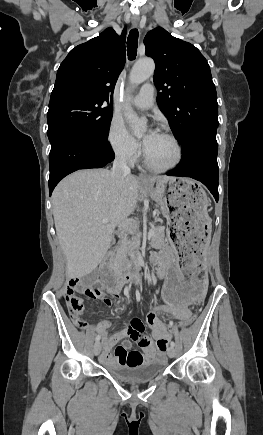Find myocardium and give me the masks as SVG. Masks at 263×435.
Segmentation results:
<instances>
[{
    "label": "myocardium",
    "mask_w": 263,
    "mask_h": 435,
    "mask_svg": "<svg viewBox=\"0 0 263 435\" xmlns=\"http://www.w3.org/2000/svg\"><path fill=\"white\" fill-rule=\"evenodd\" d=\"M159 134L167 137L174 144V146L176 148V158H175V160L171 164L166 165V166H157V165H154L150 161V159L148 157V154L146 152V149H145L144 150V163H145V166L148 169H150V170H152L154 172L162 173V172H167V171L177 167L181 163V161L183 159V149H182L181 143L179 142L178 138L174 134H172L171 132L162 130V131H160Z\"/></svg>",
    "instance_id": "1"
}]
</instances>
